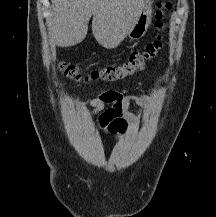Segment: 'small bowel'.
Listing matches in <instances>:
<instances>
[{"mask_svg": "<svg viewBox=\"0 0 216 217\" xmlns=\"http://www.w3.org/2000/svg\"><path fill=\"white\" fill-rule=\"evenodd\" d=\"M86 104L94 107V115H97V127L104 129L107 127L115 128L122 123H136L139 122V117L129 110L132 104L152 111L155 104L152 99L146 94L129 95L126 89L122 90H107L99 93L96 97L74 102L78 110H82ZM109 106L105 109V106Z\"/></svg>", "mask_w": 216, "mask_h": 217, "instance_id": "obj_1", "label": "small bowel"}]
</instances>
